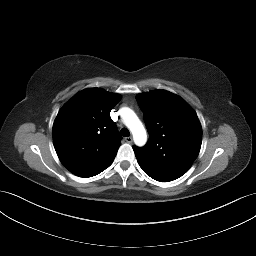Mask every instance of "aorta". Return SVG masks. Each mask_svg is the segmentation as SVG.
Returning a JSON list of instances; mask_svg holds the SVG:
<instances>
[{
    "label": "aorta",
    "instance_id": "1",
    "mask_svg": "<svg viewBox=\"0 0 256 256\" xmlns=\"http://www.w3.org/2000/svg\"><path fill=\"white\" fill-rule=\"evenodd\" d=\"M120 115L122 122L132 132L134 143L137 146L145 145L147 141V133L135 112L130 108L124 107L120 110Z\"/></svg>",
    "mask_w": 256,
    "mask_h": 256
}]
</instances>
